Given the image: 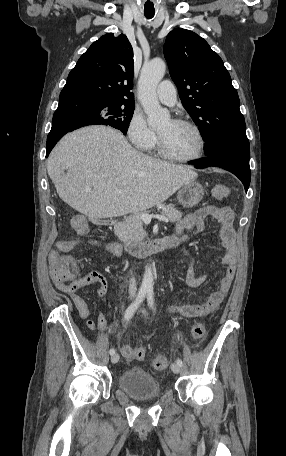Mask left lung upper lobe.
Here are the masks:
<instances>
[{
	"label": "left lung upper lobe",
	"mask_w": 286,
	"mask_h": 456,
	"mask_svg": "<svg viewBox=\"0 0 286 456\" xmlns=\"http://www.w3.org/2000/svg\"><path fill=\"white\" fill-rule=\"evenodd\" d=\"M164 56L184 108L200 128L204 150L225 139L248 140L240 101L222 59L196 33L177 28Z\"/></svg>",
	"instance_id": "obj_1"
}]
</instances>
